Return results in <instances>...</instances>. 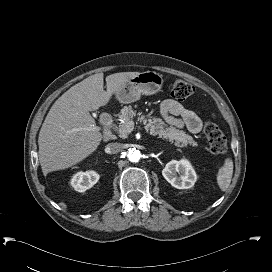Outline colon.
I'll return each instance as SVG.
<instances>
[{
  "label": "colon",
  "mask_w": 272,
  "mask_h": 272,
  "mask_svg": "<svg viewBox=\"0 0 272 272\" xmlns=\"http://www.w3.org/2000/svg\"><path fill=\"white\" fill-rule=\"evenodd\" d=\"M192 92V86L185 81H176L170 88V95L177 100H184L188 98ZM203 132L208 141L210 151L213 154L223 155L227 151L226 137L215 123H206Z\"/></svg>",
  "instance_id": "1"
}]
</instances>
